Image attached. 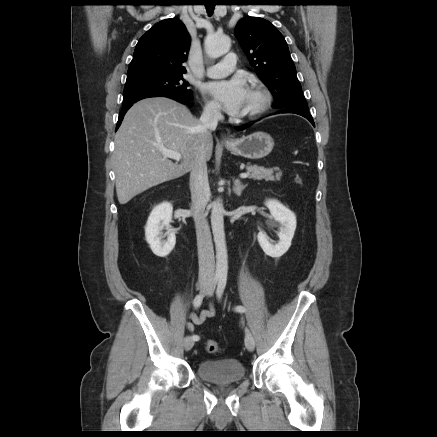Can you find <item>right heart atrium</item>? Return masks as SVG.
Wrapping results in <instances>:
<instances>
[{
    "label": "right heart atrium",
    "mask_w": 437,
    "mask_h": 437,
    "mask_svg": "<svg viewBox=\"0 0 437 437\" xmlns=\"http://www.w3.org/2000/svg\"><path fill=\"white\" fill-rule=\"evenodd\" d=\"M204 114L208 117L219 116V108L213 101H206L204 106Z\"/></svg>",
    "instance_id": "1"
}]
</instances>
